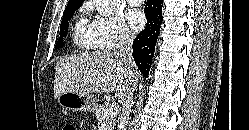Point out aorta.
Wrapping results in <instances>:
<instances>
[{"label": "aorta", "mask_w": 249, "mask_h": 130, "mask_svg": "<svg viewBox=\"0 0 249 130\" xmlns=\"http://www.w3.org/2000/svg\"><path fill=\"white\" fill-rule=\"evenodd\" d=\"M95 6L97 9V12L104 16L108 17L110 16L116 6V1L115 0H95Z\"/></svg>", "instance_id": "1"}]
</instances>
